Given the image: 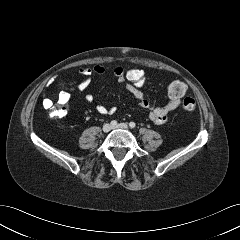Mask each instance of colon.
Wrapping results in <instances>:
<instances>
[{"mask_svg": "<svg viewBox=\"0 0 240 240\" xmlns=\"http://www.w3.org/2000/svg\"><path fill=\"white\" fill-rule=\"evenodd\" d=\"M125 77L130 85L139 90H141L147 82L146 72L138 66L126 68ZM167 92L169 98L183 99L182 108L185 111L191 112L196 109V101L192 97H185L187 85L183 81H172L167 87ZM65 112L66 108L64 107V104L58 99L57 107L53 108L52 115L54 117H61Z\"/></svg>", "mask_w": 240, "mask_h": 240, "instance_id": "obj_1", "label": "colon"}]
</instances>
